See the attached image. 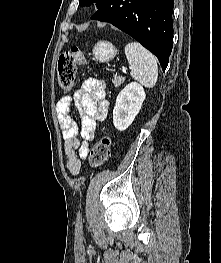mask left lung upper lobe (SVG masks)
<instances>
[{
  "mask_svg": "<svg viewBox=\"0 0 221 263\" xmlns=\"http://www.w3.org/2000/svg\"><path fill=\"white\" fill-rule=\"evenodd\" d=\"M105 0H79L81 6H90L92 3L96 2L97 7L101 6Z\"/></svg>",
  "mask_w": 221,
  "mask_h": 263,
  "instance_id": "1",
  "label": "left lung upper lobe"
}]
</instances>
